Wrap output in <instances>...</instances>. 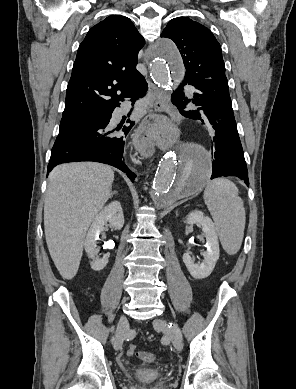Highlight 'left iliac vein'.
Wrapping results in <instances>:
<instances>
[{
    "label": "left iliac vein",
    "instance_id": "obj_1",
    "mask_svg": "<svg viewBox=\"0 0 296 389\" xmlns=\"http://www.w3.org/2000/svg\"><path fill=\"white\" fill-rule=\"evenodd\" d=\"M153 325L165 334V336L172 342L177 351H181L183 349L182 338L176 333L174 329L168 326L165 320L155 319L153 321Z\"/></svg>",
    "mask_w": 296,
    "mask_h": 389
}]
</instances>
